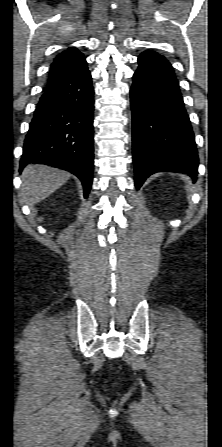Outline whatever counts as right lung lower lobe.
Returning <instances> with one entry per match:
<instances>
[{
	"mask_svg": "<svg viewBox=\"0 0 222 447\" xmlns=\"http://www.w3.org/2000/svg\"><path fill=\"white\" fill-rule=\"evenodd\" d=\"M94 89L86 60L47 87L36 106L25 138L20 171L30 163L67 170L88 196L93 173Z\"/></svg>",
	"mask_w": 222,
	"mask_h": 447,
	"instance_id": "98d812e1",
	"label": "right lung lower lobe"
}]
</instances>
